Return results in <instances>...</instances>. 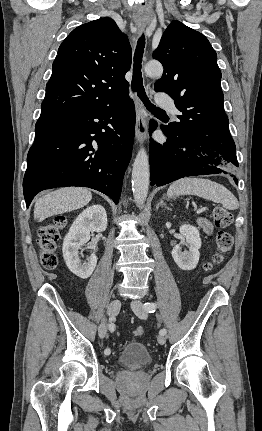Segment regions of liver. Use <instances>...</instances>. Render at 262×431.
Returning a JSON list of instances; mask_svg holds the SVG:
<instances>
[{
  "mask_svg": "<svg viewBox=\"0 0 262 431\" xmlns=\"http://www.w3.org/2000/svg\"><path fill=\"white\" fill-rule=\"evenodd\" d=\"M91 199L92 194L86 188L69 187L58 189L36 200L34 218L41 222L48 217L82 208Z\"/></svg>",
  "mask_w": 262,
  "mask_h": 431,
  "instance_id": "obj_1",
  "label": "liver"
}]
</instances>
